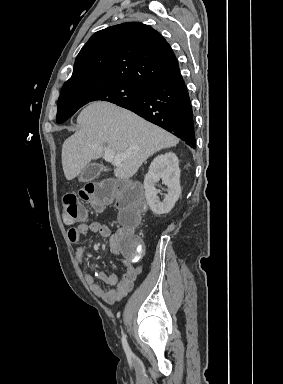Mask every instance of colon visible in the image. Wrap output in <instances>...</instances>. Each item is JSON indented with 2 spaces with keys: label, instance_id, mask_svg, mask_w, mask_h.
I'll return each instance as SVG.
<instances>
[{
  "label": "colon",
  "instance_id": "5ec220e1",
  "mask_svg": "<svg viewBox=\"0 0 283 384\" xmlns=\"http://www.w3.org/2000/svg\"><path fill=\"white\" fill-rule=\"evenodd\" d=\"M79 195L95 210H103L111 204L116 205L121 224V229L115 236L117 245L126 259L140 260L144 255V245L134 234V228L139 224L144 210L139 186L131 182L105 180L86 184L81 188ZM62 207L63 221L67 226H73L87 217V211L79 204L74 193L63 196Z\"/></svg>",
  "mask_w": 283,
  "mask_h": 384
}]
</instances>
